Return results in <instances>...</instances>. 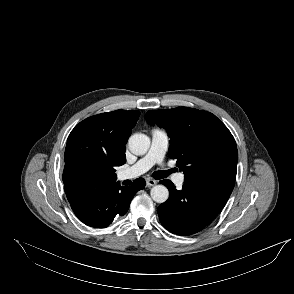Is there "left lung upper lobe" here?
<instances>
[{"instance_id":"left-lung-upper-lobe-1","label":"left lung upper lobe","mask_w":294,"mask_h":294,"mask_svg":"<svg viewBox=\"0 0 294 294\" xmlns=\"http://www.w3.org/2000/svg\"><path fill=\"white\" fill-rule=\"evenodd\" d=\"M151 125L165 128L171 138L169 156L177 159L184 182L213 178L235 182L238 152L228 128L212 113L178 107L149 110Z\"/></svg>"}]
</instances>
